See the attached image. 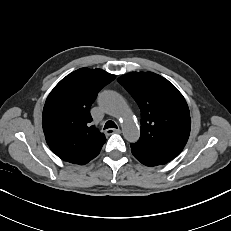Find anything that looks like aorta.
Instances as JSON below:
<instances>
[{
  "label": "aorta",
  "instance_id": "aorta-1",
  "mask_svg": "<svg viewBox=\"0 0 231 231\" xmlns=\"http://www.w3.org/2000/svg\"><path fill=\"white\" fill-rule=\"evenodd\" d=\"M100 107L108 114L121 120L124 138L134 143L140 137V130L132 119V115L125 100L114 91H104L98 98Z\"/></svg>",
  "mask_w": 231,
  "mask_h": 231
}]
</instances>
